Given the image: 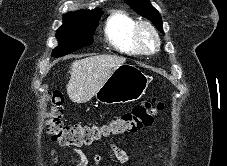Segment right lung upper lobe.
<instances>
[{"label":"right lung upper lobe","mask_w":227,"mask_h":166,"mask_svg":"<svg viewBox=\"0 0 227 166\" xmlns=\"http://www.w3.org/2000/svg\"><path fill=\"white\" fill-rule=\"evenodd\" d=\"M84 11H86V10H81V11H78V12H70V13H67V14L80 13V12H84ZM67 14H66V15H67Z\"/></svg>","instance_id":"1"}]
</instances>
